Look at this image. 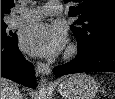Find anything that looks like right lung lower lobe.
<instances>
[{
  "label": "right lung lower lobe",
  "mask_w": 115,
  "mask_h": 99,
  "mask_svg": "<svg viewBox=\"0 0 115 99\" xmlns=\"http://www.w3.org/2000/svg\"><path fill=\"white\" fill-rule=\"evenodd\" d=\"M16 35L1 42V77L8 78L22 85L35 88V71L18 48Z\"/></svg>",
  "instance_id": "right-lung-lower-lobe-1"
}]
</instances>
